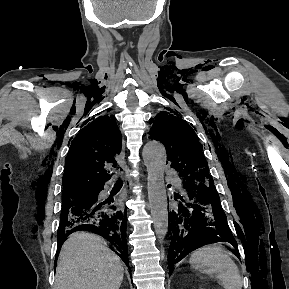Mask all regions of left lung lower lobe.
Instances as JSON below:
<instances>
[{
  "mask_svg": "<svg viewBox=\"0 0 289 289\" xmlns=\"http://www.w3.org/2000/svg\"><path fill=\"white\" fill-rule=\"evenodd\" d=\"M174 200L168 211L170 273L174 264L202 246V239L215 238V242L226 241L237 248L215 186L182 180L181 191L174 193Z\"/></svg>",
  "mask_w": 289,
  "mask_h": 289,
  "instance_id": "left-lung-lower-lobe-1",
  "label": "left lung lower lobe"
}]
</instances>
